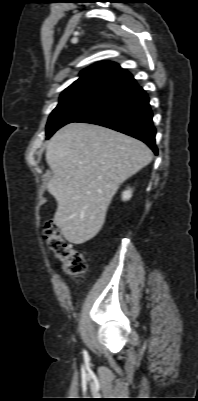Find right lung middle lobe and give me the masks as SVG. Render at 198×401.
<instances>
[{
    "label": "right lung middle lobe",
    "instance_id": "1",
    "mask_svg": "<svg viewBox=\"0 0 198 401\" xmlns=\"http://www.w3.org/2000/svg\"><path fill=\"white\" fill-rule=\"evenodd\" d=\"M109 91L106 89H83L61 95L59 104L48 119L47 139L62 126L76 122L98 107Z\"/></svg>",
    "mask_w": 198,
    "mask_h": 401
}]
</instances>
